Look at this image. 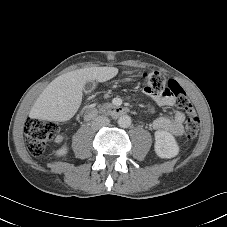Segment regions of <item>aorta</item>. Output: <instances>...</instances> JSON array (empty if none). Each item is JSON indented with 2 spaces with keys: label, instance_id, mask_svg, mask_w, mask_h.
Listing matches in <instances>:
<instances>
[{
  "label": "aorta",
  "instance_id": "obj_1",
  "mask_svg": "<svg viewBox=\"0 0 227 227\" xmlns=\"http://www.w3.org/2000/svg\"><path fill=\"white\" fill-rule=\"evenodd\" d=\"M131 117L128 115H122L118 119V125L121 128H128L131 125Z\"/></svg>",
  "mask_w": 227,
  "mask_h": 227
}]
</instances>
